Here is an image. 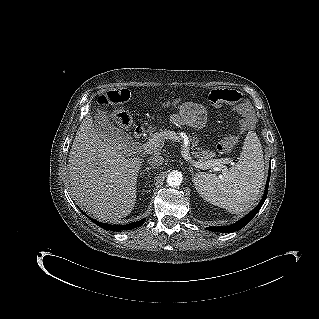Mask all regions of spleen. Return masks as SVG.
Wrapping results in <instances>:
<instances>
[{"label": "spleen", "mask_w": 319, "mask_h": 319, "mask_svg": "<svg viewBox=\"0 0 319 319\" xmlns=\"http://www.w3.org/2000/svg\"><path fill=\"white\" fill-rule=\"evenodd\" d=\"M263 150L255 132L247 133L239 161L222 176L200 172L193 182L197 192L213 205L240 213L257 200L264 184Z\"/></svg>", "instance_id": "obj_1"}]
</instances>
